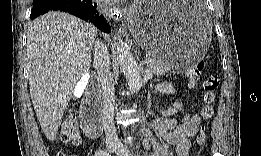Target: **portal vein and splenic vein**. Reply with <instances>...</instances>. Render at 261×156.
Here are the masks:
<instances>
[{"label":"portal vein and splenic vein","instance_id":"portal-vein-and-splenic-vein-1","mask_svg":"<svg viewBox=\"0 0 261 156\" xmlns=\"http://www.w3.org/2000/svg\"><path fill=\"white\" fill-rule=\"evenodd\" d=\"M151 61H152V58H150V57H146L144 59V63H146V64L150 63Z\"/></svg>","mask_w":261,"mask_h":156}]
</instances>
